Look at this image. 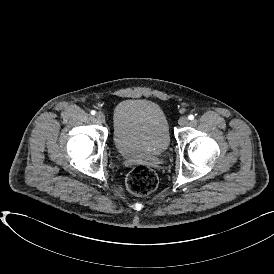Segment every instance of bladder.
Listing matches in <instances>:
<instances>
[{
    "label": "bladder",
    "instance_id": "31cf9c89",
    "mask_svg": "<svg viewBox=\"0 0 274 274\" xmlns=\"http://www.w3.org/2000/svg\"><path fill=\"white\" fill-rule=\"evenodd\" d=\"M112 138L122 156L159 155L170 146L169 121L158 103L144 98L125 99L113 111Z\"/></svg>",
    "mask_w": 274,
    "mask_h": 274
}]
</instances>
